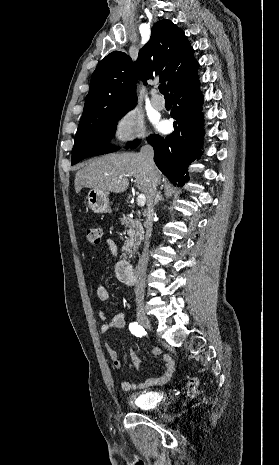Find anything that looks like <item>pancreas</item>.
<instances>
[{"label": "pancreas", "mask_w": 279, "mask_h": 465, "mask_svg": "<svg viewBox=\"0 0 279 465\" xmlns=\"http://www.w3.org/2000/svg\"><path fill=\"white\" fill-rule=\"evenodd\" d=\"M120 221L127 228V235L129 236V238L125 240L122 247V254L124 256L132 255L143 240V226L139 219H135L124 214L120 218Z\"/></svg>", "instance_id": "cf45deb5"}]
</instances>
